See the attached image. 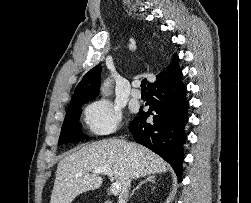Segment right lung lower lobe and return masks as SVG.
Segmentation results:
<instances>
[{"mask_svg":"<svg viewBox=\"0 0 251 203\" xmlns=\"http://www.w3.org/2000/svg\"><path fill=\"white\" fill-rule=\"evenodd\" d=\"M179 64L160 81L148 87L147 112L140 109L129 124L135 141L151 149L174 169L178 180L182 178L184 160L185 126L188 122L189 102L187 88L182 82ZM153 121L147 123V118Z\"/></svg>","mask_w":251,"mask_h":203,"instance_id":"obj_1","label":"right lung lower lobe"}]
</instances>
